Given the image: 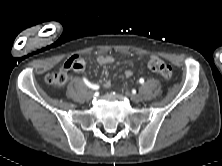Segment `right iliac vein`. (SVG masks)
Listing matches in <instances>:
<instances>
[{
    "label": "right iliac vein",
    "mask_w": 222,
    "mask_h": 166,
    "mask_svg": "<svg viewBox=\"0 0 222 166\" xmlns=\"http://www.w3.org/2000/svg\"><path fill=\"white\" fill-rule=\"evenodd\" d=\"M93 97H94L93 91H88V92L86 93V98H87L88 100L93 99Z\"/></svg>",
    "instance_id": "right-iliac-vein-1"
}]
</instances>
